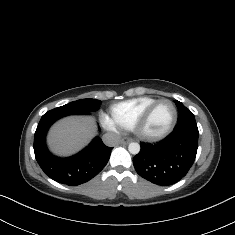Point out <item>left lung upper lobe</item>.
<instances>
[{
    "mask_svg": "<svg viewBox=\"0 0 235 235\" xmlns=\"http://www.w3.org/2000/svg\"><path fill=\"white\" fill-rule=\"evenodd\" d=\"M175 103L179 110V118L174 130L183 129V128L198 130L194 114L188 108H186L181 102L175 100Z\"/></svg>",
    "mask_w": 235,
    "mask_h": 235,
    "instance_id": "1",
    "label": "left lung upper lobe"
}]
</instances>
